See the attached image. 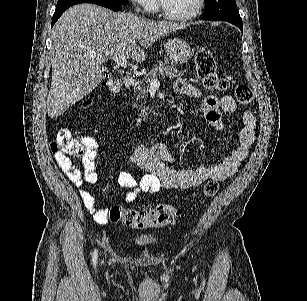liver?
<instances>
[{
  "mask_svg": "<svg viewBox=\"0 0 307 301\" xmlns=\"http://www.w3.org/2000/svg\"><path fill=\"white\" fill-rule=\"evenodd\" d=\"M181 28H186L184 22L146 20L89 2L67 8L52 28L49 116L56 118L92 92L104 78L101 66L108 58L126 54L143 62L144 48Z\"/></svg>",
  "mask_w": 307,
  "mask_h": 301,
  "instance_id": "obj_1",
  "label": "liver"
}]
</instances>
